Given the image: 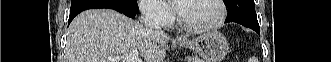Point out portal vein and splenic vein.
Returning <instances> with one entry per match:
<instances>
[{"instance_id":"obj_1","label":"portal vein and splenic vein","mask_w":331,"mask_h":62,"mask_svg":"<svg viewBox=\"0 0 331 62\" xmlns=\"http://www.w3.org/2000/svg\"><path fill=\"white\" fill-rule=\"evenodd\" d=\"M109 61L112 62H142V60L138 57V51L132 50L129 54L121 55V56H110Z\"/></svg>"}]
</instances>
